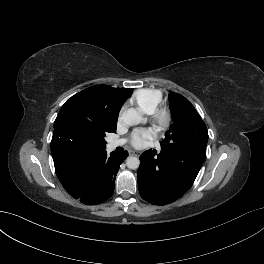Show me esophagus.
<instances>
[{
    "label": "esophagus",
    "mask_w": 264,
    "mask_h": 264,
    "mask_svg": "<svg viewBox=\"0 0 264 264\" xmlns=\"http://www.w3.org/2000/svg\"><path fill=\"white\" fill-rule=\"evenodd\" d=\"M129 154H130V155H134V156H138V155H139V152H136V151H129Z\"/></svg>",
    "instance_id": "esophagus-1"
}]
</instances>
